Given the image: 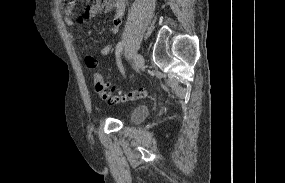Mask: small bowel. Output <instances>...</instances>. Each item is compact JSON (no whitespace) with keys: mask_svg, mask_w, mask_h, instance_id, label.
Segmentation results:
<instances>
[{"mask_svg":"<svg viewBox=\"0 0 285 183\" xmlns=\"http://www.w3.org/2000/svg\"><path fill=\"white\" fill-rule=\"evenodd\" d=\"M75 4L70 3L64 9V17L68 26L78 29L80 28L81 21L73 19ZM125 11V0H96L86 11L84 17H93L99 13L112 12L113 17L109 31L112 35H116L119 31L123 14ZM112 49V43L103 47L100 51L102 56H106ZM85 63L89 68H96L99 66V60L92 55L85 58Z\"/></svg>","mask_w":285,"mask_h":183,"instance_id":"obj_1","label":"small bowel"}]
</instances>
